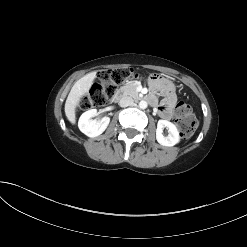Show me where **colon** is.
<instances>
[{
  "mask_svg": "<svg viewBox=\"0 0 247 247\" xmlns=\"http://www.w3.org/2000/svg\"><path fill=\"white\" fill-rule=\"evenodd\" d=\"M132 68H114L103 70L98 74V81L90 91L84 94L80 101L81 108H102L108 105L115 97L119 84L135 77ZM175 123L182 137H190L197 128V120L191 107L180 101L175 109Z\"/></svg>",
  "mask_w": 247,
  "mask_h": 247,
  "instance_id": "colon-1",
  "label": "colon"
}]
</instances>
